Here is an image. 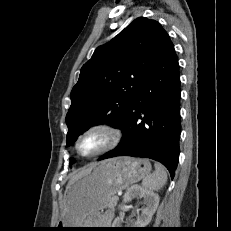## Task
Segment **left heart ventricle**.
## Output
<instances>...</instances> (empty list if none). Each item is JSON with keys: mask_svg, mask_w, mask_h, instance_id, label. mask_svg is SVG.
<instances>
[{"mask_svg": "<svg viewBox=\"0 0 231 231\" xmlns=\"http://www.w3.org/2000/svg\"><path fill=\"white\" fill-rule=\"evenodd\" d=\"M109 142V135L104 131H94L85 135L79 142V150L84 155L93 154Z\"/></svg>", "mask_w": 231, "mask_h": 231, "instance_id": "left-heart-ventricle-1", "label": "left heart ventricle"}]
</instances>
